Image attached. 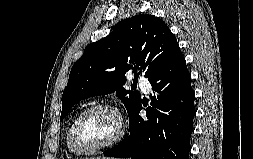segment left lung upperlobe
Returning a JSON list of instances; mask_svg holds the SVG:
<instances>
[{
    "instance_id": "5c2ea615",
    "label": "left lung upper lobe",
    "mask_w": 253,
    "mask_h": 159,
    "mask_svg": "<svg viewBox=\"0 0 253 159\" xmlns=\"http://www.w3.org/2000/svg\"><path fill=\"white\" fill-rule=\"evenodd\" d=\"M178 43L165 22L148 14L122 20L105 38L88 45L73 65L62 95L60 121L82 99L116 92L128 115L141 102L136 91H127L125 73L145 71L148 79L158 73L179 51Z\"/></svg>"
}]
</instances>
